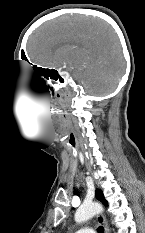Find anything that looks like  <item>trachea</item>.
<instances>
[{
	"label": "trachea",
	"mask_w": 145,
	"mask_h": 233,
	"mask_svg": "<svg viewBox=\"0 0 145 233\" xmlns=\"http://www.w3.org/2000/svg\"><path fill=\"white\" fill-rule=\"evenodd\" d=\"M97 230L98 233H104V228L102 226H99Z\"/></svg>",
	"instance_id": "3493384b"
}]
</instances>
